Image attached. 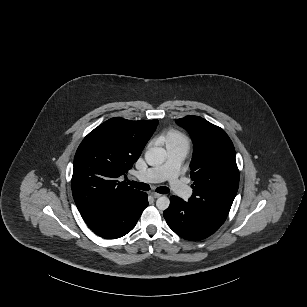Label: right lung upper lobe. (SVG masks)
I'll use <instances>...</instances> for the list:
<instances>
[{"label": "right lung upper lobe", "mask_w": 307, "mask_h": 307, "mask_svg": "<svg viewBox=\"0 0 307 307\" xmlns=\"http://www.w3.org/2000/svg\"><path fill=\"white\" fill-rule=\"evenodd\" d=\"M158 120L111 118L91 131L74 157L72 194L83 219L138 192L117 178L132 168Z\"/></svg>", "instance_id": "obj_1"}]
</instances>
